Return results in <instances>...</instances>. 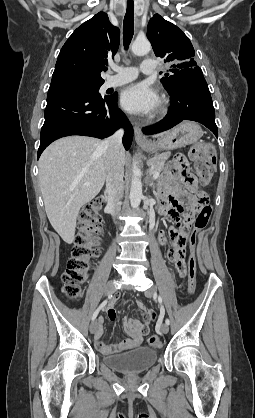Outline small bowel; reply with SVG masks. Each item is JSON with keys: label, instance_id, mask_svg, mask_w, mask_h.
Masks as SVG:
<instances>
[{"label": "small bowel", "instance_id": "small-bowel-1", "mask_svg": "<svg viewBox=\"0 0 255 418\" xmlns=\"http://www.w3.org/2000/svg\"><path fill=\"white\" fill-rule=\"evenodd\" d=\"M178 153L174 156V162L166 172L159 190L162 199L160 212L174 221L177 226L182 219L186 220L190 217L195 200L202 194L195 177L188 170L189 154H183L182 149H179ZM190 234H194L192 228L177 227L162 230L159 234L160 243L167 246L165 255L168 256L172 268L176 270L177 280H186L187 278L188 267L185 262V255ZM138 305L144 312L146 323L154 319V311L145 309L142 303H138ZM106 313L112 321L117 318L113 302L106 306ZM103 322L104 319L99 318L97 329L94 332L95 346L103 354L120 353L138 347L142 344L144 335L149 331L148 325L140 320L136 318L125 319L123 327L129 338L116 345H109L102 340Z\"/></svg>", "mask_w": 255, "mask_h": 418}]
</instances>
